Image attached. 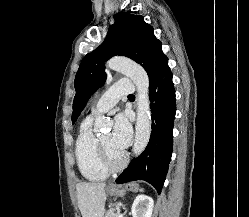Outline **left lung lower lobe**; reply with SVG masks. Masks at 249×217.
<instances>
[{
	"label": "left lung lower lobe",
	"mask_w": 249,
	"mask_h": 217,
	"mask_svg": "<svg viewBox=\"0 0 249 217\" xmlns=\"http://www.w3.org/2000/svg\"><path fill=\"white\" fill-rule=\"evenodd\" d=\"M149 81L152 113L150 141L144 152L133 159L116 179V183L144 180L153 185L160 194L171 161L173 122L176 113L175 89L167 57L160 63Z\"/></svg>",
	"instance_id": "obj_1"
}]
</instances>
